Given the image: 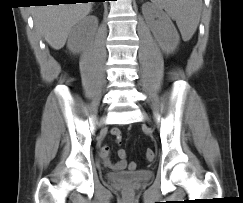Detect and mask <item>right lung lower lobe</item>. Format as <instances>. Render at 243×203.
<instances>
[{
    "instance_id": "98d812e1",
    "label": "right lung lower lobe",
    "mask_w": 243,
    "mask_h": 203,
    "mask_svg": "<svg viewBox=\"0 0 243 203\" xmlns=\"http://www.w3.org/2000/svg\"><path fill=\"white\" fill-rule=\"evenodd\" d=\"M44 1H48V0H40V2H38V4H36V5H44L45 4V2ZM61 2H58V3H68V4H70V3H77V1H94V2H102V1H105V0H60ZM40 3V4H39ZM47 3V2H46ZM50 3H54V4H57V2L55 3V2H50ZM87 3V2H86Z\"/></svg>"
}]
</instances>
